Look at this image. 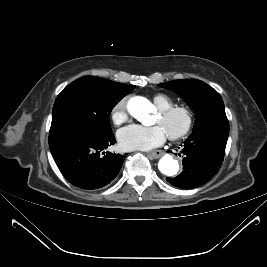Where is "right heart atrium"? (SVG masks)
Listing matches in <instances>:
<instances>
[{
  "instance_id": "1",
  "label": "right heart atrium",
  "mask_w": 267,
  "mask_h": 267,
  "mask_svg": "<svg viewBox=\"0 0 267 267\" xmlns=\"http://www.w3.org/2000/svg\"><path fill=\"white\" fill-rule=\"evenodd\" d=\"M111 119L115 125H121L128 120L127 101L120 100L112 109Z\"/></svg>"
}]
</instances>
